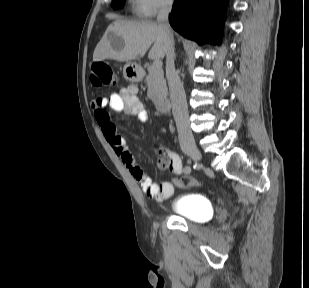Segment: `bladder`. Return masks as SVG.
I'll return each instance as SVG.
<instances>
[{"label":"bladder","mask_w":309,"mask_h":288,"mask_svg":"<svg viewBox=\"0 0 309 288\" xmlns=\"http://www.w3.org/2000/svg\"><path fill=\"white\" fill-rule=\"evenodd\" d=\"M171 211L195 223H204L210 218L211 205L209 199L198 193H188L174 200Z\"/></svg>","instance_id":"31cf9c89"}]
</instances>
